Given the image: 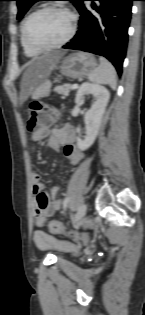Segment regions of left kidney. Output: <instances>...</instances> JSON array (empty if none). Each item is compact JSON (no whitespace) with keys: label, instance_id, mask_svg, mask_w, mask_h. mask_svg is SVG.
<instances>
[{"label":"left kidney","instance_id":"obj_1","mask_svg":"<svg viewBox=\"0 0 145 315\" xmlns=\"http://www.w3.org/2000/svg\"><path fill=\"white\" fill-rule=\"evenodd\" d=\"M87 94L93 95L95 101L84 117L85 138L83 140L77 138V147L81 151L88 149L94 143L110 98L109 91L105 87L91 83H83L77 91L75 103L81 105L84 96Z\"/></svg>","mask_w":145,"mask_h":315}]
</instances>
